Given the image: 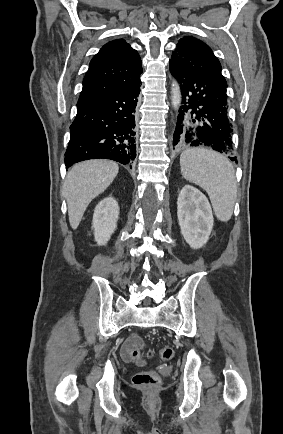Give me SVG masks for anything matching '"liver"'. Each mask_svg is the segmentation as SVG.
I'll list each match as a JSON object with an SVG mask.
<instances>
[{"label":"liver","instance_id":"1","mask_svg":"<svg viewBox=\"0 0 283 434\" xmlns=\"http://www.w3.org/2000/svg\"><path fill=\"white\" fill-rule=\"evenodd\" d=\"M118 171V165L107 160L84 161L69 170L62 194L67 200L72 229L79 226L89 203L108 188Z\"/></svg>","mask_w":283,"mask_h":434}]
</instances>
